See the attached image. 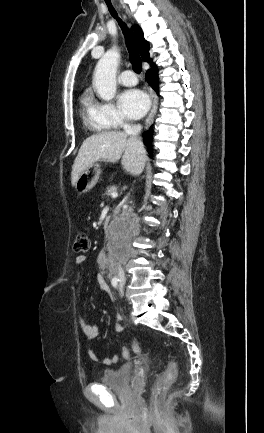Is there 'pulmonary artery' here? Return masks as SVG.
Instances as JSON below:
<instances>
[{
	"instance_id": "obj_1",
	"label": "pulmonary artery",
	"mask_w": 264,
	"mask_h": 433,
	"mask_svg": "<svg viewBox=\"0 0 264 433\" xmlns=\"http://www.w3.org/2000/svg\"><path fill=\"white\" fill-rule=\"evenodd\" d=\"M118 81L124 86H134L137 83V77L132 70L126 69L122 71Z\"/></svg>"
}]
</instances>
